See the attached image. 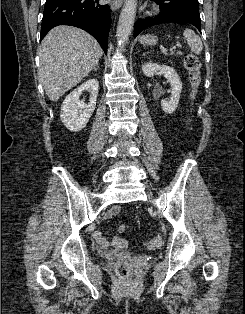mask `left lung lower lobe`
I'll return each mask as SVG.
<instances>
[{"instance_id":"1","label":"left lung lower lobe","mask_w":245,"mask_h":314,"mask_svg":"<svg viewBox=\"0 0 245 314\" xmlns=\"http://www.w3.org/2000/svg\"><path fill=\"white\" fill-rule=\"evenodd\" d=\"M159 4L161 12L153 18L139 19L134 25V37L141 33L146 27L161 23H190L201 32V19L199 12L189 9L168 10V1L153 0Z\"/></svg>"}]
</instances>
